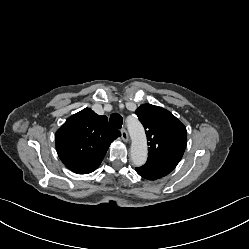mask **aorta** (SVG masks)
I'll return each instance as SVG.
<instances>
[{
	"label": "aorta",
	"mask_w": 249,
	"mask_h": 249,
	"mask_svg": "<svg viewBox=\"0 0 249 249\" xmlns=\"http://www.w3.org/2000/svg\"><path fill=\"white\" fill-rule=\"evenodd\" d=\"M127 127L132 139L130 154L135 166H142L147 160V140L143 126L136 119H128Z\"/></svg>",
	"instance_id": "762f6f07"
}]
</instances>
